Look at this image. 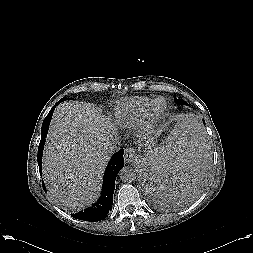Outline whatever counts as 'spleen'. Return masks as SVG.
<instances>
[{"label": "spleen", "mask_w": 253, "mask_h": 253, "mask_svg": "<svg viewBox=\"0 0 253 253\" xmlns=\"http://www.w3.org/2000/svg\"><path fill=\"white\" fill-rule=\"evenodd\" d=\"M201 124L189 118L169 131L154 153V162L146 173L150 195L160 202L175 204L194 196L202 183L206 141Z\"/></svg>", "instance_id": "3e777b00"}]
</instances>
